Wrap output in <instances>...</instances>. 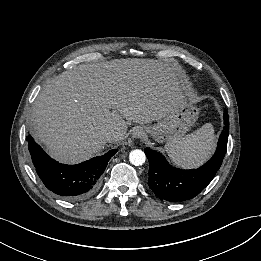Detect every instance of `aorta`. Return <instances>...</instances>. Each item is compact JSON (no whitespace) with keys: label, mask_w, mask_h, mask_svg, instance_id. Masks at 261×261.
Listing matches in <instances>:
<instances>
[{"label":"aorta","mask_w":261,"mask_h":261,"mask_svg":"<svg viewBox=\"0 0 261 261\" xmlns=\"http://www.w3.org/2000/svg\"><path fill=\"white\" fill-rule=\"evenodd\" d=\"M146 156L142 150L135 149L129 154V161L135 166H141L145 163Z\"/></svg>","instance_id":"obj_1"}]
</instances>
